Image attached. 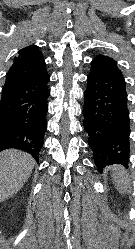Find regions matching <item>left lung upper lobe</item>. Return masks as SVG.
<instances>
[{"label": "left lung upper lobe", "mask_w": 135, "mask_h": 249, "mask_svg": "<svg viewBox=\"0 0 135 249\" xmlns=\"http://www.w3.org/2000/svg\"><path fill=\"white\" fill-rule=\"evenodd\" d=\"M93 63L99 64L115 73L121 74V70L117 66V62L113 60L111 57H108L106 55H97L93 60Z\"/></svg>", "instance_id": "obj_1"}]
</instances>
